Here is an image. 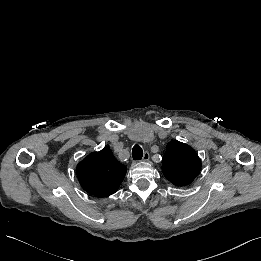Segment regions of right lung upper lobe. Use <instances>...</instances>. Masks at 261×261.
I'll use <instances>...</instances> for the list:
<instances>
[{
	"mask_svg": "<svg viewBox=\"0 0 261 261\" xmlns=\"http://www.w3.org/2000/svg\"><path fill=\"white\" fill-rule=\"evenodd\" d=\"M76 171L81 187L87 193L102 198L118 190L127 168L105 147L90 153L77 165Z\"/></svg>",
	"mask_w": 261,
	"mask_h": 261,
	"instance_id": "obj_1",
	"label": "right lung upper lobe"
}]
</instances>
